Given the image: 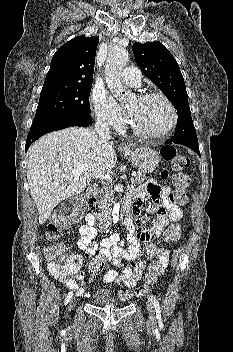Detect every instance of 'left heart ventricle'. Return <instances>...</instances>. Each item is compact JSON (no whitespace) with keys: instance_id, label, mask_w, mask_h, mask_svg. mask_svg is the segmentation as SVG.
<instances>
[{"instance_id":"obj_1","label":"left heart ventricle","mask_w":233,"mask_h":352,"mask_svg":"<svg viewBox=\"0 0 233 352\" xmlns=\"http://www.w3.org/2000/svg\"><path fill=\"white\" fill-rule=\"evenodd\" d=\"M127 112L139 129L149 133L163 131L171 120L168 106L159 98L146 101L135 99L130 103Z\"/></svg>"}]
</instances>
